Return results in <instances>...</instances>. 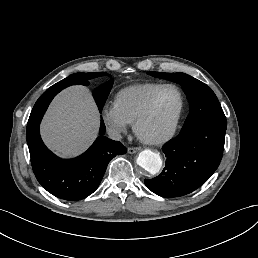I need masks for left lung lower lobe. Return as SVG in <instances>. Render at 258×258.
<instances>
[{
    "label": "left lung lower lobe",
    "mask_w": 258,
    "mask_h": 258,
    "mask_svg": "<svg viewBox=\"0 0 258 258\" xmlns=\"http://www.w3.org/2000/svg\"><path fill=\"white\" fill-rule=\"evenodd\" d=\"M225 130L214 125L198 126L170 140L162 148L167 157L165 168L159 176L144 180L147 188L166 198L198 189L220 164Z\"/></svg>",
    "instance_id": "1"
}]
</instances>
